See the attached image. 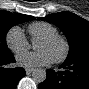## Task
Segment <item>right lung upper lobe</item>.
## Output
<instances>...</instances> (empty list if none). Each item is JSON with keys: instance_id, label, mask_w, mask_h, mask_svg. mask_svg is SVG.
Masks as SVG:
<instances>
[{"instance_id": "obj_1", "label": "right lung upper lobe", "mask_w": 89, "mask_h": 89, "mask_svg": "<svg viewBox=\"0 0 89 89\" xmlns=\"http://www.w3.org/2000/svg\"><path fill=\"white\" fill-rule=\"evenodd\" d=\"M21 15H23V14H21ZM23 16H25V17H29V18H32V20H34V19H35L33 16H29V15H23Z\"/></svg>"}]
</instances>
